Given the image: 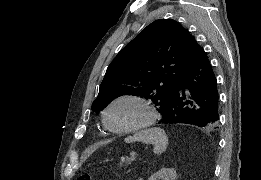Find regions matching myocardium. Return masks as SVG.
I'll use <instances>...</instances> for the list:
<instances>
[{
    "mask_svg": "<svg viewBox=\"0 0 261 180\" xmlns=\"http://www.w3.org/2000/svg\"><path fill=\"white\" fill-rule=\"evenodd\" d=\"M124 101H131L139 104L143 108V115L136 124L127 128L116 129L112 127L109 122V113L115 105ZM154 118L155 111L152 102L145 96L135 93H124L116 96L105 106L102 113V121L104 126L110 133L117 136L133 135L143 132L151 126Z\"/></svg>",
    "mask_w": 261,
    "mask_h": 180,
    "instance_id": "myocardium-1",
    "label": "myocardium"
}]
</instances>
